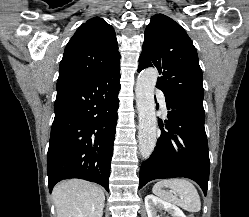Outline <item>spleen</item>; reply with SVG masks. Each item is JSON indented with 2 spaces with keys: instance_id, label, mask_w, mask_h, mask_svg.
Masks as SVG:
<instances>
[{
  "instance_id": "3e777b00",
  "label": "spleen",
  "mask_w": 249,
  "mask_h": 217,
  "mask_svg": "<svg viewBox=\"0 0 249 217\" xmlns=\"http://www.w3.org/2000/svg\"><path fill=\"white\" fill-rule=\"evenodd\" d=\"M163 187L171 188L181 195V199H178L171 192H166L162 189ZM152 191L166 201L177 204L189 212H198L201 209V201L197 189L186 179L172 178L161 180L153 186Z\"/></svg>"
}]
</instances>
